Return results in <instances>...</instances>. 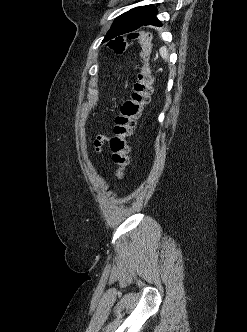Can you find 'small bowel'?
<instances>
[{
    "label": "small bowel",
    "instance_id": "obj_1",
    "mask_svg": "<svg viewBox=\"0 0 247 332\" xmlns=\"http://www.w3.org/2000/svg\"><path fill=\"white\" fill-rule=\"evenodd\" d=\"M110 138L106 135H100L95 140V147L97 151H101L102 145L104 142L109 141Z\"/></svg>",
    "mask_w": 247,
    "mask_h": 332
}]
</instances>
